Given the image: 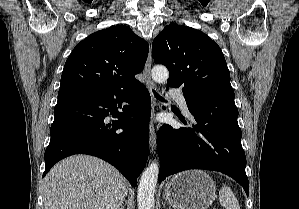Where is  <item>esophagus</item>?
I'll return each instance as SVG.
<instances>
[{
    "label": "esophagus",
    "instance_id": "esophagus-1",
    "mask_svg": "<svg viewBox=\"0 0 299 209\" xmlns=\"http://www.w3.org/2000/svg\"><path fill=\"white\" fill-rule=\"evenodd\" d=\"M151 64H152V51H151V46H150L147 61H146L145 67H144V76H145V80H146V85L149 89L151 87L155 88V84L151 78ZM151 100H152V109H151V122H150V128H149V132H150L149 146H150L151 153H154L155 149H156V131H155V126H154V117H155V113H156V101H155V98L152 93H151Z\"/></svg>",
    "mask_w": 299,
    "mask_h": 209
}]
</instances>
